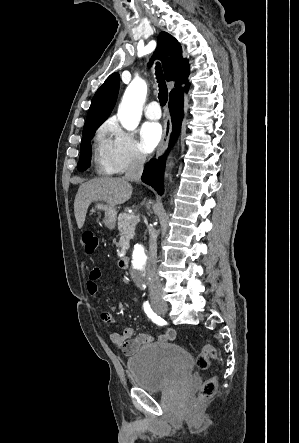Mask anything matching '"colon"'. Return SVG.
<instances>
[{"label":"colon","instance_id":"colon-1","mask_svg":"<svg viewBox=\"0 0 299 443\" xmlns=\"http://www.w3.org/2000/svg\"><path fill=\"white\" fill-rule=\"evenodd\" d=\"M81 238L86 253L90 255L94 254L99 244L96 233L91 229H86L82 232ZM216 356V349L210 344H205L197 357L198 367L202 370L209 368L211 361L215 359ZM217 384L218 381L215 376L204 381L198 395V401L203 402L212 398L216 393Z\"/></svg>","mask_w":299,"mask_h":443}]
</instances>
